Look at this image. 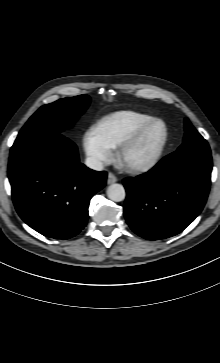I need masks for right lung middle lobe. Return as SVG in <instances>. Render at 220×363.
I'll list each match as a JSON object with an SVG mask.
<instances>
[{"mask_svg":"<svg viewBox=\"0 0 220 363\" xmlns=\"http://www.w3.org/2000/svg\"><path fill=\"white\" fill-rule=\"evenodd\" d=\"M90 103L87 95L68 97L38 109L18 134L11 152L21 146L47 135L59 134L70 127L83 114Z\"/></svg>","mask_w":220,"mask_h":363,"instance_id":"dd1d6c3e","label":"right lung middle lobe"}]
</instances>
